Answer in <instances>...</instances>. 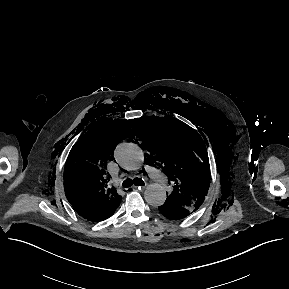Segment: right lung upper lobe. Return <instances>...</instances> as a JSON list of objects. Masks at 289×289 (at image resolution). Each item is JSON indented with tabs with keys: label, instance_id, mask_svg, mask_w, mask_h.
<instances>
[{
	"label": "right lung upper lobe",
	"instance_id": "obj_1",
	"mask_svg": "<svg viewBox=\"0 0 289 289\" xmlns=\"http://www.w3.org/2000/svg\"><path fill=\"white\" fill-rule=\"evenodd\" d=\"M129 120H112L107 125L93 126L77 141L64 170V189L69 203L84 219L98 222L109 218L122 197L115 188L107 189L108 160L118 142L131 129ZM103 125V124H102Z\"/></svg>",
	"mask_w": 289,
	"mask_h": 289
}]
</instances>
